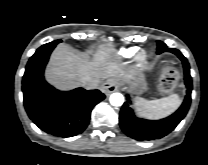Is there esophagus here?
I'll return each mask as SVG.
<instances>
[{"label": "esophagus", "instance_id": "esophagus-1", "mask_svg": "<svg viewBox=\"0 0 208 165\" xmlns=\"http://www.w3.org/2000/svg\"><path fill=\"white\" fill-rule=\"evenodd\" d=\"M118 88L117 82L114 79H107L102 84V90L105 94L109 95L113 92H115Z\"/></svg>", "mask_w": 208, "mask_h": 165}]
</instances>
